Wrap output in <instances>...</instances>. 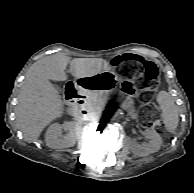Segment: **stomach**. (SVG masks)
Listing matches in <instances>:
<instances>
[{"label":"stomach","instance_id":"0dacf381","mask_svg":"<svg viewBox=\"0 0 194 193\" xmlns=\"http://www.w3.org/2000/svg\"><path fill=\"white\" fill-rule=\"evenodd\" d=\"M76 88L82 92H111L118 86L131 95H137L138 89L131 80H120L113 71H102L90 76L75 78Z\"/></svg>","mask_w":194,"mask_h":193}]
</instances>
